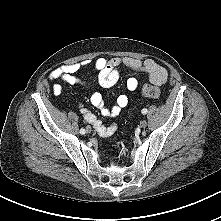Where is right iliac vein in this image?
Here are the masks:
<instances>
[{
	"label": "right iliac vein",
	"instance_id": "1",
	"mask_svg": "<svg viewBox=\"0 0 221 221\" xmlns=\"http://www.w3.org/2000/svg\"><path fill=\"white\" fill-rule=\"evenodd\" d=\"M87 133L91 132V128L90 127H87Z\"/></svg>",
	"mask_w": 221,
	"mask_h": 221
}]
</instances>
